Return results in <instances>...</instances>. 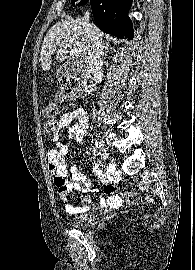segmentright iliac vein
I'll return each mask as SVG.
<instances>
[{"label": "right iliac vein", "instance_id": "63e3f726", "mask_svg": "<svg viewBox=\"0 0 195 270\" xmlns=\"http://www.w3.org/2000/svg\"><path fill=\"white\" fill-rule=\"evenodd\" d=\"M95 143H96V147L98 148L99 155L101 156V158L104 161L107 160L108 158L107 147L99 135H96Z\"/></svg>", "mask_w": 195, "mask_h": 270}]
</instances>
